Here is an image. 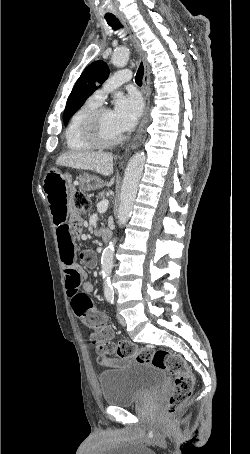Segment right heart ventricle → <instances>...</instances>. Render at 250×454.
<instances>
[{"label": "right heart ventricle", "mask_w": 250, "mask_h": 454, "mask_svg": "<svg viewBox=\"0 0 250 454\" xmlns=\"http://www.w3.org/2000/svg\"><path fill=\"white\" fill-rule=\"evenodd\" d=\"M100 104L88 99L81 105L71 116L70 121L65 129L64 137L67 149L73 152H85L95 147L89 143L83 135V124L85 118Z\"/></svg>", "instance_id": "obj_1"}]
</instances>
